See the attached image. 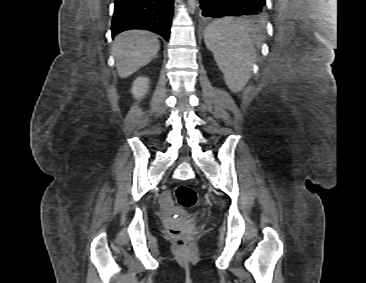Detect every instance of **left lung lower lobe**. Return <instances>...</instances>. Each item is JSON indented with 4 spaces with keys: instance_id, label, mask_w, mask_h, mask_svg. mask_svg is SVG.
<instances>
[{
    "instance_id": "1",
    "label": "left lung lower lobe",
    "mask_w": 366,
    "mask_h": 283,
    "mask_svg": "<svg viewBox=\"0 0 366 283\" xmlns=\"http://www.w3.org/2000/svg\"><path fill=\"white\" fill-rule=\"evenodd\" d=\"M265 2L266 0H200V8L204 17L212 18L258 15L265 11Z\"/></svg>"
}]
</instances>
